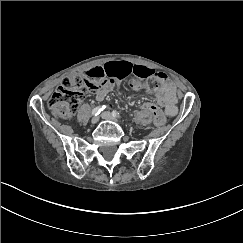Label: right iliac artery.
<instances>
[{"label": "right iliac artery", "mask_w": 243, "mask_h": 243, "mask_svg": "<svg viewBox=\"0 0 243 243\" xmlns=\"http://www.w3.org/2000/svg\"><path fill=\"white\" fill-rule=\"evenodd\" d=\"M105 108H106L105 105H103V106H98V107L94 108V109L92 110V115L97 116V115L100 114Z\"/></svg>", "instance_id": "right-iliac-artery-1"}]
</instances>
